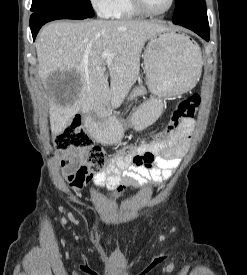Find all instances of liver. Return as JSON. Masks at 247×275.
Listing matches in <instances>:
<instances>
[{"mask_svg":"<svg viewBox=\"0 0 247 275\" xmlns=\"http://www.w3.org/2000/svg\"><path fill=\"white\" fill-rule=\"evenodd\" d=\"M167 30L155 21L128 19L56 21L46 25L36 42L38 73L43 84L56 71L74 72L80 83V88L64 103L51 97V132L62 133L80 111L87 114L109 103L118 108L137 80L146 41ZM105 50L114 53L106 64L101 57Z\"/></svg>","mask_w":247,"mask_h":275,"instance_id":"1","label":"liver"}]
</instances>
